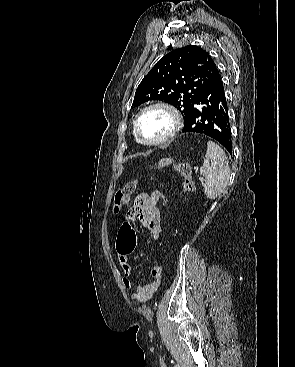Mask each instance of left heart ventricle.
<instances>
[{"instance_id":"1","label":"left heart ventricle","mask_w":295,"mask_h":367,"mask_svg":"<svg viewBox=\"0 0 295 367\" xmlns=\"http://www.w3.org/2000/svg\"><path fill=\"white\" fill-rule=\"evenodd\" d=\"M172 128L170 115L162 109L146 112L140 119L139 132L143 139L153 141L163 138Z\"/></svg>"}]
</instances>
